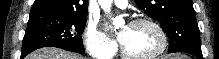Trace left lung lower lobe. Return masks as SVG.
I'll list each match as a JSON object with an SVG mask.
<instances>
[{
  "label": "left lung lower lobe",
  "instance_id": "obj_1",
  "mask_svg": "<svg viewBox=\"0 0 219 59\" xmlns=\"http://www.w3.org/2000/svg\"><path fill=\"white\" fill-rule=\"evenodd\" d=\"M174 52H184V53L191 54L197 57L198 59H203L201 46L196 45V44H185L176 49L169 51V53H174Z\"/></svg>",
  "mask_w": 219,
  "mask_h": 59
}]
</instances>
